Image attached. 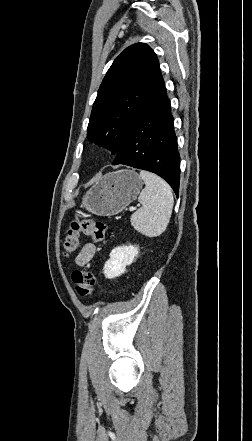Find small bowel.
<instances>
[{"mask_svg": "<svg viewBox=\"0 0 252 441\" xmlns=\"http://www.w3.org/2000/svg\"><path fill=\"white\" fill-rule=\"evenodd\" d=\"M96 253V246L93 242L86 243L75 258L76 266L82 267L88 264Z\"/></svg>", "mask_w": 252, "mask_h": 441, "instance_id": "small-bowel-1", "label": "small bowel"}]
</instances>
